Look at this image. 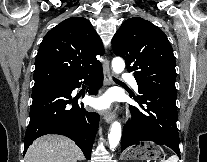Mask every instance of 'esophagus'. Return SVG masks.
Instances as JSON below:
<instances>
[{
  "mask_svg": "<svg viewBox=\"0 0 207 162\" xmlns=\"http://www.w3.org/2000/svg\"><path fill=\"white\" fill-rule=\"evenodd\" d=\"M103 74H104V83L106 86H109L111 84L112 79H111L109 61L107 58H105L103 63ZM102 116L106 123H112L115 115L112 110H106L102 113Z\"/></svg>",
  "mask_w": 207,
  "mask_h": 162,
  "instance_id": "34e87169",
  "label": "esophagus"
}]
</instances>
